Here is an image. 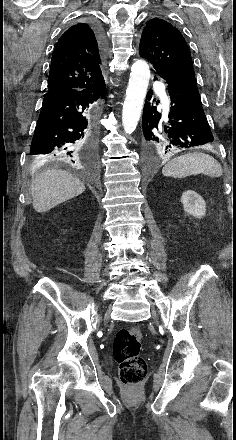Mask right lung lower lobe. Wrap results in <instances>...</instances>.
<instances>
[{
	"instance_id": "right-lung-lower-lobe-1",
	"label": "right lung lower lobe",
	"mask_w": 236,
	"mask_h": 440,
	"mask_svg": "<svg viewBox=\"0 0 236 440\" xmlns=\"http://www.w3.org/2000/svg\"><path fill=\"white\" fill-rule=\"evenodd\" d=\"M92 27L105 56L103 32L95 24ZM105 93L104 79L80 90L46 93L30 147L31 158L38 159V163H74L93 172L97 163V117Z\"/></svg>"
}]
</instances>
